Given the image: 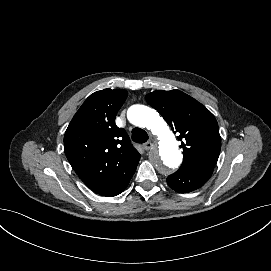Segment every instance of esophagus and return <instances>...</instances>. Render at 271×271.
Instances as JSON below:
<instances>
[{"instance_id": "esophagus-1", "label": "esophagus", "mask_w": 271, "mask_h": 271, "mask_svg": "<svg viewBox=\"0 0 271 271\" xmlns=\"http://www.w3.org/2000/svg\"><path fill=\"white\" fill-rule=\"evenodd\" d=\"M154 147H155V144L150 141L143 144V148L147 151L153 149Z\"/></svg>"}]
</instances>
